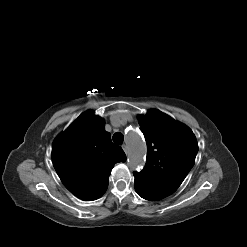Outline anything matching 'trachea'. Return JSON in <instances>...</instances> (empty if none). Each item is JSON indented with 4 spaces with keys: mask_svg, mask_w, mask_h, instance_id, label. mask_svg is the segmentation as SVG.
<instances>
[{
    "mask_svg": "<svg viewBox=\"0 0 247 247\" xmlns=\"http://www.w3.org/2000/svg\"><path fill=\"white\" fill-rule=\"evenodd\" d=\"M113 141H114V143L121 145L123 143V141H124L123 134L119 133V132L115 133L113 135Z\"/></svg>",
    "mask_w": 247,
    "mask_h": 247,
    "instance_id": "3493384b",
    "label": "trachea"
}]
</instances>
